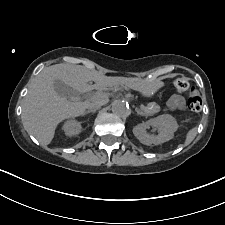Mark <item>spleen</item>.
<instances>
[{"instance_id": "3e777b00", "label": "spleen", "mask_w": 225, "mask_h": 225, "mask_svg": "<svg viewBox=\"0 0 225 225\" xmlns=\"http://www.w3.org/2000/svg\"><path fill=\"white\" fill-rule=\"evenodd\" d=\"M196 134H197L196 127L190 129L188 131V133L186 134V139H185V142H184V146L189 145L193 141V139L195 138Z\"/></svg>"}]
</instances>
